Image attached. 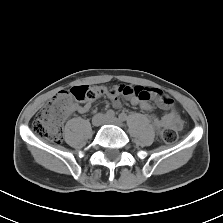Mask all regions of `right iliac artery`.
I'll list each match as a JSON object with an SVG mask.
<instances>
[{
	"mask_svg": "<svg viewBox=\"0 0 223 223\" xmlns=\"http://www.w3.org/2000/svg\"><path fill=\"white\" fill-rule=\"evenodd\" d=\"M106 116H107L108 118H113V117L115 116V113H114L113 110H108V111L106 112Z\"/></svg>",
	"mask_w": 223,
	"mask_h": 223,
	"instance_id": "82829eb1",
	"label": "right iliac artery"
}]
</instances>
